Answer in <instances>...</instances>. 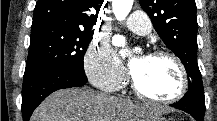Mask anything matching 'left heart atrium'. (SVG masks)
<instances>
[{
	"mask_svg": "<svg viewBox=\"0 0 217 121\" xmlns=\"http://www.w3.org/2000/svg\"><path fill=\"white\" fill-rule=\"evenodd\" d=\"M116 41H117L118 44H121V42H122L121 39H119V38H118ZM136 67H137V64H136L135 61H133V62L131 63V72H132V74H133L134 71L136 70Z\"/></svg>",
	"mask_w": 217,
	"mask_h": 121,
	"instance_id": "39dd6f15",
	"label": "left heart atrium"
}]
</instances>
